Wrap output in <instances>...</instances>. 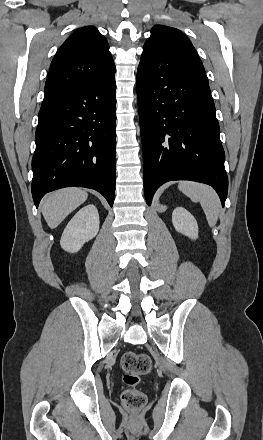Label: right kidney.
<instances>
[{
    "mask_svg": "<svg viewBox=\"0 0 263 440\" xmlns=\"http://www.w3.org/2000/svg\"><path fill=\"white\" fill-rule=\"evenodd\" d=\"M99 231V214L93 204L80 209L63 231L60 245L67 252L79 251L84 243L93 239Z\"/></svg>",
    "mask_w": 263,
    "mask_h": 440,
    "instance_id": "obj_1",
    "label": "right kidney"
}]
</instances>
